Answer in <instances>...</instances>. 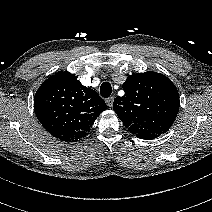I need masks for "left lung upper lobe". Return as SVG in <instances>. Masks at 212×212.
I'll return each mask as SVG.
<instances>
[{
	"mask_svg": "<svg viewBox=\"0 0 212 212\" xmlns=\"http://www.w3.org/2000/svg\"><path fill=\"white\" fill-rule=\"evenodd\" d=\"M123 89L124 96L116 97L113 107L131 133L144 139L169 130L180 105L178 90L169 78L153 71L133 74Z\"/></svg>",
	"mask_w": 212,
	"mask_h": 212,
	"instance_id": "5c2ea615",
	"label": "left lung upper lobe"
}]
</instances>
